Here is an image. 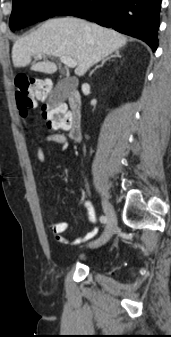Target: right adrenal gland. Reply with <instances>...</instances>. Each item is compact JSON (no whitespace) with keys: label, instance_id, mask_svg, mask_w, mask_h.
I'll return each instance as SVG.
<instances>
[{"label":"right adrenal gland","instance_id":"right-adrenal-gland-1","mask_svg":"<svg viewBox=\"0 0 171 337\" xmlns=\"http://www.w3.org/2000/svg\"><path fill=\"white\" fill-rule=\"evenodd\" d=\"M113 57L121 58V55L119 54V51H116L114 55H111V56H109V57L103 59V61L101 62V64L98 65V66H96L95 69L92 70V71L90 72V76L93 74V72H94L97 68L103 66V64H104L107 60H110V59L113 58Z\"/></svg>","mask_w":171,"mask_h":337}]
</instances>
